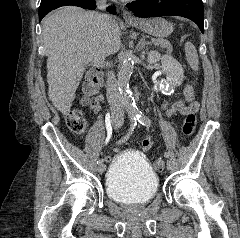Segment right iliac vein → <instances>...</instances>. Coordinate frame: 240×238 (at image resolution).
I'll return each mask as SVG.
<instances>
[{
  "label": "right iliac vein",
  "instance_id": "63e3f726",
  "mask_svg": "<svg viewBox=\"0 0 240 238\" xmlns=\"http://www.w3.org/2000/svg\"><path fill=\"white\" fill-rule=\"evenodd\" d=\"M105 171V164L101 163L98 165V172L103 173Z\"/></svg>",
  "mask_w": 240,
  "mask_h": 238
}]
</instances>
